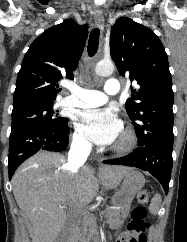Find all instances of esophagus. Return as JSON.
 <instances>
[{
  "mask_svg": "<svg viewBox=\"0 0 187 242\" xmlns=\"http://www.w3.org/2000/svg\"><path fill=\"white\" fill-rule=\"evenodd\" d=\"M96 25L100 28L101 31L104 30V16L101 12H96L94 14Z\"/></svg>",
  "mask_w": 187,
  "mask_h": 242,
  "instance_id": "obj_1",
  "label": "esophagus"
}]
</instances>
